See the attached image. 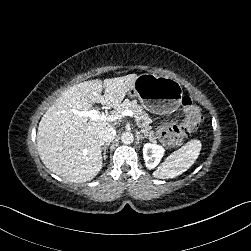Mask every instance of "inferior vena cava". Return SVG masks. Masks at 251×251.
Wrapping results in <instances>:
<instances>
[{
    "instance_id": "inferior-vena-cava-1",
    "label": "inferior vena cava",
    "mask_w": 251,
    "mask_h": 251,
    "mask_svg": "<svg viewBox=\"0 0 251 251\" xmlns=\"http://www.w3.org/2000/svg\"><path fill=\"white\" fill-rule=\"evenodd\" d=\"M116 130L113 127H105L99 133V138L102 142H111L115 139Z\"/></svg>"
}]
</instances>
